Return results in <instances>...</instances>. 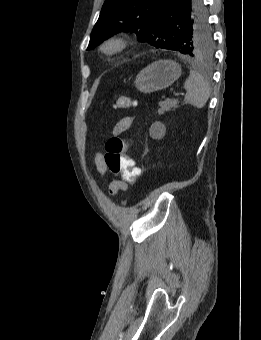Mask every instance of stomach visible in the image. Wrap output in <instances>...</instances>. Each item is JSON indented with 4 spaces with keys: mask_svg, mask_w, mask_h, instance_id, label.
Returning a JSON list of instances; mask_svg holds the SVG:
<instances>
[{
    "mask_svg": "<svg viewBox=\"0 0 261 340\" xmlns=\"http://www.w3.org/2000/svg\"><path fill=\"white\" fill-rule=\"evenodd\" d=\"M182 73L181 66L172 60H159L137 75L135 87L142 93H152L171 86Z\"/></svg>",
    "mask_w": 261,
    "mask_h": 340,
    "instance_id": "stomach-1",
    "label": "stomach"
}]
</instances>
